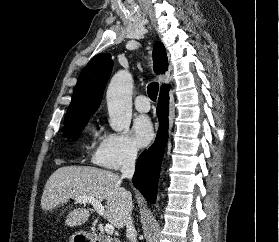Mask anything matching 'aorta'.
I'll return each mask as SVG.
<instances>
[{"mask_svg":"<svg viewBox=\"0 0 279 242\" xmlns=\"http://www.w3.org/2000/svg\"><path fill=\"white\" fill-rule=\"evenodd\" d=\"M132 76L119 71L112 78L107 90L109 124L120 132L129 129L132 118Z\"/></svg>","mask_w":279,"mask_h":242,"instance_id":"1","label":"aorta"}]
</instances>
